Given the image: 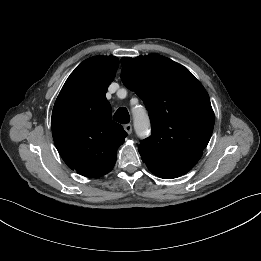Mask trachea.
I'll list each match as a JSON object with an SVG mask.
<instances>
[{"instance_id":"3493384b","label":"trachea","mask_w":261,"mask_h":261,"mask_svg":"<svg viewBox=\"0 0 261 261\" xmlns=\"http://www.w3.org/2000/svg\"><path fill=\"white\" fill-rule=\"evenodd\" d=\"M114 120L121 123L127 124L130 122V116L128 110L125 107L119 108L114 114Z\"/></svg>"}]
</instances>
